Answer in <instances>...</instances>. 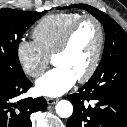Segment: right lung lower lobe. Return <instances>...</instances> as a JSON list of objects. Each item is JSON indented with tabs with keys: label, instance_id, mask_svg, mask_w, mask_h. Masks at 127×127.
<instances>
[{
	"label": "right lung lower lobe",
	"instance_id": "obj_1",
	"mask_svg": "<svg viewBox=\"0 0 127 127\" xmlns=\"http://www.w3.org/2000/svg\"><path fill=\"white\" fill-rule=\"evenodd\" d=\"M31 86L26 76L19 79L0 72V127H32L31 114L46 109L47 102L43 97L15 102L16 97Z\"/></svg>",
	"mask_w": 127,
	"mask_h": 127
}]
</instances>
